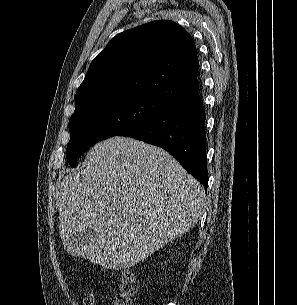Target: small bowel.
I'll list each match as a JSON object with an SVG mask.
<instances>
[{
  "mask_svg": "<svg viewBox=\"0 0 297 305\" xmlns=\"http://www.w3.org/2000/svg\"><path fill=\"white\" fill-rule=\"evenodd\" d=\"M84 305H95V298L92 294H88L85 296Z\"/></svg>",
  "mask_w": 297,
  "mask_h": 305,
  "instance_id": "c3829d8e",
  "label": "small bowel"
}]
</instances>
